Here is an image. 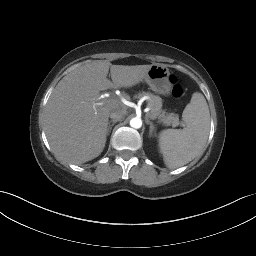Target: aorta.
<instances>
[{
	"label": "aorta",
	"instance_id": "1",
	"mask_svg": "<svg viewBox=\"0 0 256 256\" xmlns=\"http://www.w3.org/2000/svg\"><path fill=\"white\" fill-rule=\"evenodd\" d=\"M130 126L133 127V128H135V129L141 128V126H142V120H141L140 118H137V117L132 118V119L130 120Z\"/></svg>",
	"mask_w": 256,
	"mask_h": 256
}]
</instances>
